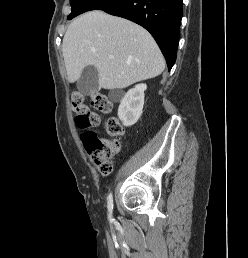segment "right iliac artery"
<instances>
[{
    "label": "right iliac artery",
    "mask_w": 248,
    "mask_h": 258,
    "mask_svg": "<svg viewBox=\"0 0 248 258\" xmlns=\"http://www.w3.org/2000/svg\"><path fill=\"white\" fill-rule=\"evenodd\" d=\"M113 210V197L112 194L110 193L108 196V211H109V217H111Z\"/></svg>",
    "instance_id": "82829eb1"
}]
</instances>
